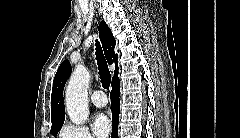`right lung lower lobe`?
<instances>
[{
    "label": "right lung lower lobe",
    "instance_id": "1",
    "mask_svg": "<svg viewBox=\"0 0 240 138\" xmlns=\"http://www.w3.org/2000/svg\"><path fill=\"white\" fill-rule=\"evenodd\" d=\"M119 87L120 82L119 79L112 81V91L110 93L111 102H112V117H113V131L111 134V138L118 137V121H119Z\"/></svg>",
    "mask_w": 240,
    "mask_h": 138
}]
</instances>
